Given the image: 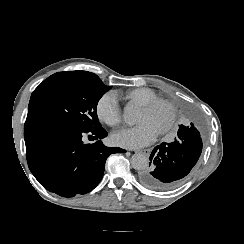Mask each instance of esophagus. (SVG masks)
<instances>
[{"mask_svg":"<svg viewBox=\"0 0 244 244\" xmlns=\"http://www.w3.org/2000/svg\"><path fill=\"white\" fill-rule=\"evenodd\" d=\"M151 150L149 148L147 149H140V150H136L135 153H141V154H144L146 156H149Z\"/></svg>","mask_w":244,"mask_h":244,"instance_id":"obj_1","label":"esophagus"}]
</instances>
